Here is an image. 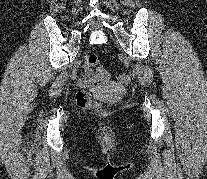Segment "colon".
<instances>
[{
	"label": "colon",
	"mask_w": 207,
	"mask_h": 179,
	"mask_svg": "<svg viewBox=\"0 0 207 179\" xmlns=\"http://www.w3.org/2000/svg\"><path fill=\"white\" fill-rule=\"evenodd\" d=\"M85 63L88 67L97 66L98 57L93 53L88 54L85 58ZM96 72H97L98 78L101 81H107L110 77L108 71H106L105 69L101 67H97ZM130 80H131L130 75L126 73L122 74L119 78L120 83L124 85L129 84ZM76 99H77V103L79 107L83 109L96 106L93 100L92 94L89 91H85V90L78 91L76 95Z\"/></svg>",
	"instance_id": "1"
}]
</instances>
